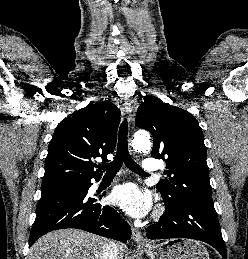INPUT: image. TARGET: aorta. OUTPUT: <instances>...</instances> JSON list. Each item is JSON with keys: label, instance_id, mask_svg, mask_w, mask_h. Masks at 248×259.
Listing matches in <instances>:
<instances>
[{"label": "aorta", "instance_id": "762f6f07", "mask_svg": "<svg viewBox=\"0 0 248 259\" xmlns=\"http://www.w3.org/2000/svg\"><path fill=\"white\" fill-rule=\"evenodd\" d=\"M132 146L135 150L145 151L151 148V142L146 134H136L132 141Z\"/></svg>", "mask_w": 248, "mask_h": 259}]
</instances>
